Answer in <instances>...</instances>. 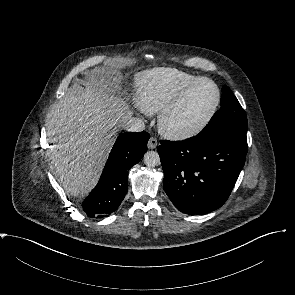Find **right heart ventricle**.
I'll return each instance as SVG.
<instances>
[{
    "label": "right heart ventricle",
    "mask_w": 295,
    "mask_h": 295,
    "mask_svg": "<svg viewBox=\"0 0 295 295\" xmlns=\"http://www.w3.org/2000/svg\"><path fill=\"white\" fill-rule=\"evenodd\" d=\"M197 76L173 68L156 69L139 78V100L148 113L162 111Z\"/></svg>",
    "instance_id": "obj_1"
}]
</instances>
